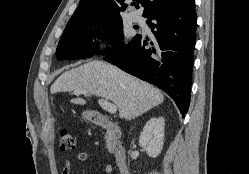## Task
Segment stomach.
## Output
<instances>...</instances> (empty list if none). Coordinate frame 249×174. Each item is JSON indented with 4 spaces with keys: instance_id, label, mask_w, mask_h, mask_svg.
Returning <instances> with one entry per match:
<instances>
[{
    "instance_id": "obj_1",
    "label": "stomach",
    "mask_w": 249,
    "mask_h": 174,
    "mask_svg": "<svg viewBox=\"0 0 249 174\" xmlns=\"http://www.w3.org/2000/svg\"><path fill=\"white\" fill-rule=\"evenodd\" d=\"M92 114L90 112H83V117L85 119H91Z\"/></svg>"
}]
</instances>
